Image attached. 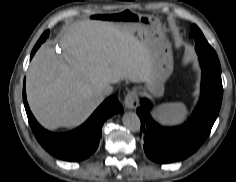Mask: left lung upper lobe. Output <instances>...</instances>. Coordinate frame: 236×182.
<instances>
[{
  "mask_svg": "<svg viewBox=\"0 0 236 182\" xmlns=\"http://www.w3.org/2000/svg\"><path fill=\"white\" fill-rule=\"evenodd\" d=\"M191 36L196 43V51L200 58V64L203 69L221 74V66L214 49L206 41L201 30L196 26H192Z\"/></svg>",
  "mask_w": 236,
  "mask_h": 182,
  "instance_id": "5c2ea615",
  "label": "left lung upper lobe"
}]
</instances>
